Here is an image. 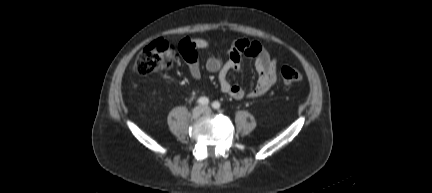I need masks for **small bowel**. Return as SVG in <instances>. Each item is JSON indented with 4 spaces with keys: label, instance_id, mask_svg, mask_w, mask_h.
Instances as JSON below:
<instances>
[{
    "label": "small bowel",
    "instance_id": "obj_1",
    "mask_svg": "<svg viewBox=\"0 0 432 193\" xmlns=\"http://www.w3.org/2000/svg\"><path fill=\"white\" fill-rule=\"evenodd\" d=\"M178 47L187 64L191 78L199 80L202 73L197 51L208 49L210 47L209 41L203 38H185L180 41ZM228 54L229 58L225 62L212 56L205 60L206 69L217 74L219 86L223 93L235 99L259 98L265 95L277 82L276 60L267 48L259 42L239 39L232 44ZM243 58L253 60L258 73L257 82L250 91H246L239 85L231 84L229 80V73L240 69Z\"/></svg>",
    "mask_w": 432,
    "mask_h": 193
}]
</instances>
